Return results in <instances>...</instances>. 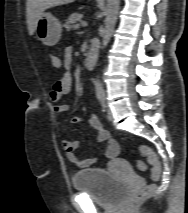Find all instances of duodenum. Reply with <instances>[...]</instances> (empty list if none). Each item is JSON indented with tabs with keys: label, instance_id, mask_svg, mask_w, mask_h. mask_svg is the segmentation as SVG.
<instances>
[{
	"label": "duodenum",
	"instance_id": "1",
	"mask_svg": "<svg viewBox=\"0 0 188 213\" xmlns=\"http://www.w3.org/2000/svg\"><path fill=\"white\" fill-rule=\"evenodd\" d=\"M99 53V44L92 40L90 43V49L85 59V65L87 68H93L97 62V57Z\"/></svg>",
	"mask_w": 188,
	"mask_h": 213
}]
</instances>
